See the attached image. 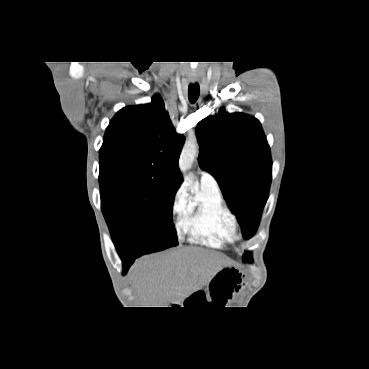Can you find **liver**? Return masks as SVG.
I'll use <instances>...</instances> for the list:
<instances>
[{
    "label": "liver",
    "instance_id": "obj_1",
    "mask_svg": "<svg viewBox=\"0 0 369 369\" xmlns=\"http://www.w3.org/2000/svg\"><path fill=\"white\" fill-rule=\"evenodd\" d=\"M224 263L215 252L186 247L139 259L130 278L142 307H168L208 284Z\"/></svg>",
    "mask_w": 369,
    "mask_h": 369
}]
</instances>
